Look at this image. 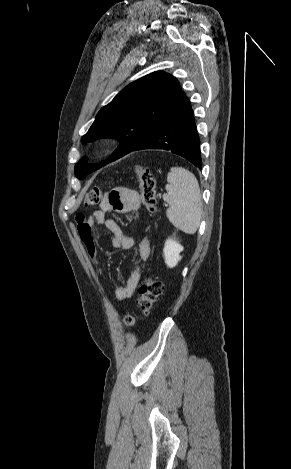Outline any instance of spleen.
Wrapping results in <instances>:
<instances>
[{"label": "spleen", "mask_w": 291, "mask_h": 469, "mask_svg": "<svg viewBox=\"0 0 291 469\" xmlns=\"http://www.w3.org/2000/svg\"><path fill=\"white\" fill-rule=\"evenodd\" d=\"M167 193L163 200L169 204L166 216L179 230L194 234L202 217V200L199 183L192 172L173 167L167 175Z\"/></svg>", "instance_id": "obj_1"}]
</instances>
